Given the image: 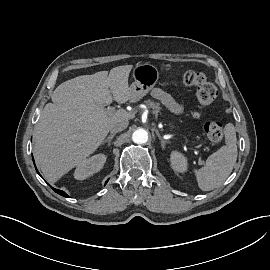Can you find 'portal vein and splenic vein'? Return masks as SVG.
Instances as JSON below:
<instances>
[{"mask_svg":"<svg viewBox=\"0 0 270 270\" xmlns=\"http://www.w3.org/2000/svg\"><path fill=\"white\" fill-rule=\"evenodd\" d=\"M109 110H112V111H113V110H114V108H109ZM200 164H202V161H200Z\"/></svg>","mask_w":270,"mask_h":270,"instance_id":"1","label":"portal vein and splenic vein"}]
</instances>
